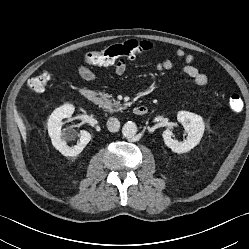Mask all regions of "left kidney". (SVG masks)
I'll use <instances>...</instances> for the list:
<instances>
[{
  "label": "left kidney",
  "mask_w": 249,
  "mask_h": 249,
  "mask_svg": "<svg viewBox=\"0 0 249 249\" xmlns=\"http://www.w3.org/2000/svg\"><path fill=\"white\" fill-rule=\"evenodd\" d=\"M177 120L182 124L188 136L183 142H179L173 139L172 132L166 129L163 134V140L167 147L173 152L181 154L186 153L193 149L201 140L205 125L201 116L188 112L179 111L177 114Z\"/></svg>",
  "instance_id": "obj_1"
}]
</instances>
